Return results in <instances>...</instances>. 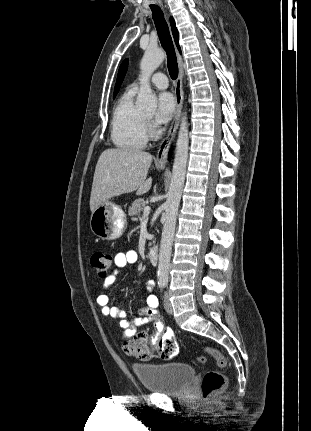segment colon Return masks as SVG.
<instances>
[{"label": "colon", "instance_id": "5ec220e1", "mask_svg": "<svg viewBox=\"0 0 311 431\" xmlns=\"http://www.w3.org/2000/svg\"><path fill=\"white\" fill-rule=\"evenodd\" d=\"M90 263L95 273L99 277L104 278L108 276L109 269L113 263V257L109 252L95 250L90 256ZM123 350L126 354L141 360H151L155 357L170 359L178 354L179 347L175 338L172 336H165L160 340L153 341L139 334L127 340L123 345ZM203 350L214 358L217 365V369L209 370L202 379V393L204 397H208L225 387L226 375L223 370L227 368L228 361L225 356L215 348L205 346ZM198 362L203 364L206 362V358L200 356Z\"/></svg>", "mask_w": 311, "mask_h": 431}]
</instances>
